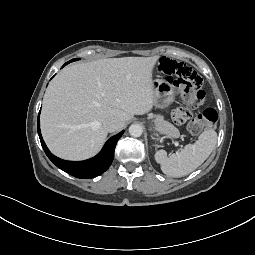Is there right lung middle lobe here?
<instances>
[{
	"instance_id": "1",
	"label": "right lung middle lobe",
	"mask_w": 255,
	"mask_h": 255,
	"mask_svg": "<svg viewBox=\"0 0 255 255\" xmlns=\"http://www.w3.org/2000/svg\"><path fill=\"white\" fill-rule=\"evenodd\" d=\"M73 61H76V60H78V59H72Z\"/></svg>"
}]
</instances>
